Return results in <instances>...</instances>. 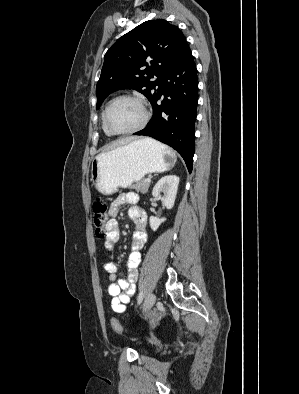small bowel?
<instances>
[{
    "label": "small bowel",
    "instance_id": "small-bowel-1",
    "mask_svg": "<svg viewBox=\"0 0 299 394\" xmlns=\"http://www.w3.org/2000/svg\"><path fill=\"white\" fill-rule=\"evenodd\" d=\"M139 197L134 192H127L118 196L110 205V219L106 224V236L104 247L108 254L112 255L115 244L120 237V230L116 216L122 206L129 204L128 217L134 222L135 229L131 241V252L126 263V277L116 280L117 265L112 260L105 263L104 269L108 274L110 284L108 293L112 296V308L118 313L126 310L131 296L135 294V282L138 277V266L141 260L140 250L143 248L146 239L147 215L142 207L138 205Z\"/></svg>",
    "mask_w": 299,
    "mask_h": 394
}]
</instances>
